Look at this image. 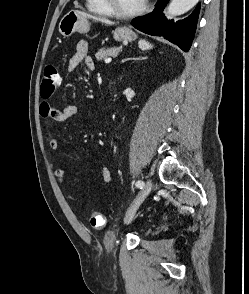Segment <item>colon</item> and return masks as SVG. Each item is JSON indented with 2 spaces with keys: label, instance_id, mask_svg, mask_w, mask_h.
<instances>
[{
  "label": "colon",
  "instance_id": "1",
  "mask_svg": "<svg viewBox=\"0 0 249 294\" xmlns=\"http://www.w3.org/2000/svg\"><path fill=\"white\" fill-rule=\"evenodd\" d=\"M61 78L58 69L54 65L46 67L40 88V95L43 99H49L58 89ZM90 225L94 229H102L106 225V218L100 213H92L90 216Z\"/></svg>",
  "mask_w": 249,
  "mask_h": 294
}]
</instances>
